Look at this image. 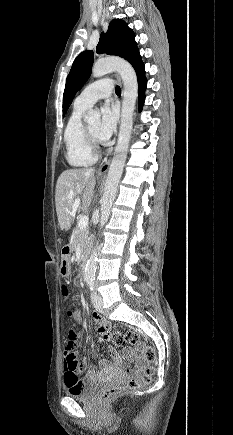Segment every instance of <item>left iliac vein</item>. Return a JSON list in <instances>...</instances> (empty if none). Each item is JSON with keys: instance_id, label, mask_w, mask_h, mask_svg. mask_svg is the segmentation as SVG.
Segmentation results:
<instances>
[{"instance_id": "left-iliac-vein-1", "label": "left iliac vein", "mask_w": 233, "mask_h": 435, "mask_svg": "<svg viewBox=\"0 0 233 435\" xmlns=\"http://www.w3.org/2000/svg\"><path fill=\"white\" fill-rule=\"evenodd\" d=\"M91 299H92V303L94 308L98 311V312H103V301H102V297L98 294H96L95 292H93L91 294Z\"/></svg>"}]
</instances>
